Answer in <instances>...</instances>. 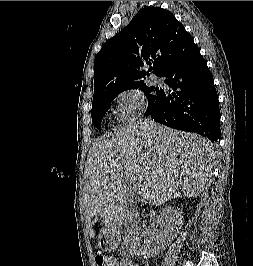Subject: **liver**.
Listing matches in <instances>:
<instances>
[{
	"label": "liver",
	"mask_w": 253,
	"mask_h": 266,
	"mask_svg": "<svg viewBox=\"0 0 253 266\" xmlns=\"http://www.w3.org/2000/svg\"><path fill=\"white\" fill-rule=\"evenodd\" d=\"M213 158L206 138L150 120L131 122L95 142L83 187L90 237H102L127 217L126 179L136 177L143 201L160 206L173 198L199 196Z\"/></svg>",
	"instance_id": "obj_1"
}]
</instances>
